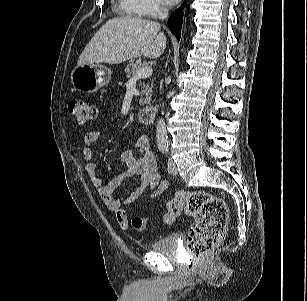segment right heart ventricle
Segmentation results:
<instances>
[{
  "mask_svg": "<svg viewBox=\"0 0 307 301\" xmlns=\"http://www.w3.org/2000/svg\"><path fill=\"white\" fill-rule=\"evenodd\" d=\"M117 8L125 15L141 17L137 0H117Z\"/></svg>",
  "mask_w": 307,
  "mask_h": 301,
  "instance_id": "e07e8e85",
  "label": "right heart ventricle"
}]
</instances>
